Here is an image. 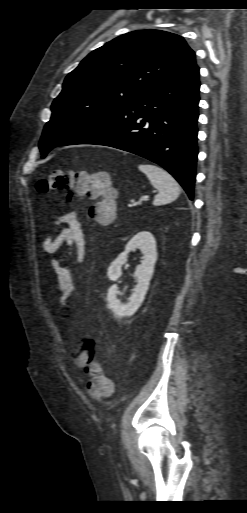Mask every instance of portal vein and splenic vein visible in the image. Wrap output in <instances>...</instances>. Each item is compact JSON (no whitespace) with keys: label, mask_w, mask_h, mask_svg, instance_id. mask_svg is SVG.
Returning a JSON list of instances; mask_svg holds the SVG:
<instances>
[{"label":"portal vein and splenic vein","mask_w":247,"mask_h":513,"mask_svg":"<svg viewBox=\"0 0 247 513\" xmlns=\"http://www.w3.org/2000/svg\"><path fill=\"white\" fill-rule=\"evenodd\" d=\"M144 200H146V199H145V198H143V199L139 200L137 203H135V204H129L128 206H129V207H133V206H135V205H137V204L139 205V204H141V203H142V201H144Z\"/></svg>","instance_id":"obj_1"}]
</instances>
